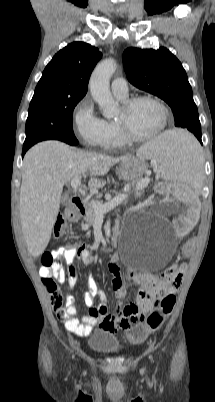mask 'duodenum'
I'll return each mask as SVG.
<instances>
[{
    "mask_svg": "<svg viewBox=\"0 0 215 402\" xmlns=\"http://www.w3.org/2000/svg\"><path fill=\"white\" fill-rule=\"evenodd\" d=\"M85 212V205L81 198L75 197L66 210L67 218L71 221L79 220Z\"/></svg>",
    "mask_w": 215,
    "mask_h": 402,
    "instance_id": "410a0bca",
    "label": "duodenum"
}]
</instances>
